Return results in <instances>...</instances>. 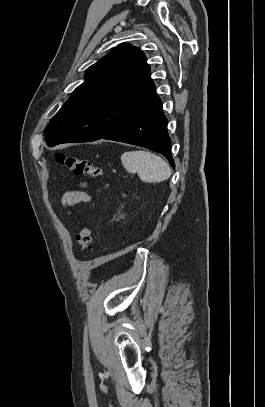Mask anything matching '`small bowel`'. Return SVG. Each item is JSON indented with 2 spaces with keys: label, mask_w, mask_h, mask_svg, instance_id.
<instances>
[{
  "label": "small bowel",
  "mask_w": 265,
  "mask_h": 407,
  "mask_svg": "<svg viewBox=\"0 0 265 407\" xmlns=\"http://www.w3.org/2000/svg\"><path fill=\"white\" fill-rule=\"evenodd\" d=\"M89 200L90 197L86 192L81 190H71L64 193L61 202L66 209H69L70 207L78 205L82 202H88Z\"/></svg>",
  "instance_id": "obj_1"
}]
</instances>
